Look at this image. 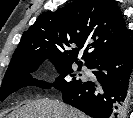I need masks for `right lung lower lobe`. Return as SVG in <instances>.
Listing matches in <instances>:
<instances>
[{
	"mask_svg": "<svg viewBox=\"0 0 133 118\" xmlns=\"http://www.w3.org/2000/svg\"><path fill=\"white\" fill-rule=\"evenodd\" d=\"M89 68L95 69L98 81L62 91L63 101L93 118H123L133 72L132 41L99 57Z\"/></svg>",
	"mask_w": 133,
	"mask_h": 118,
	"instance_id": "obj_1",
	"label": "right lung lower lobe"
}]
</instances>
